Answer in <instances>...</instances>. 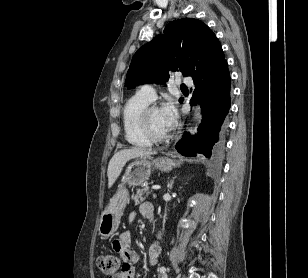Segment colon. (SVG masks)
<instances>
[{
    "instance_id": "colon-1",
    "label": "colon",
    "mask_w": 308,
    "mask_h": 278,
    "mask_svg": "<svg viewBox=\"0 0 308 278\" xmlns=\"http://www.w3.org/2000/svg\"><path fill=\"white\" fill-rule=\"evenodd\" d=\"M120 265H121L120 257L115 254L105 253L99 255L97 258L98 268L104 274L109 275L110 277L118 272Z\"/></svg>"
}]
</instances>
